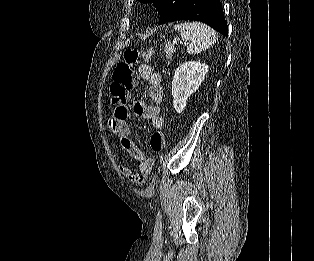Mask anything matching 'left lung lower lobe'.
I'll list each match as a JSON object with an SVG mask.
<instances>
[{"label": "left lung lower lobe", "mask_w": 314, "mask_h": 261, "mask_svg": "<svg viewBox=\"0 0 314 261\" xmlns=\"http://www.w3.org/2000/svg\"><path fill=\"white\" fill-rule=\"evenodd\" d=\"M179 20L201 21L221 34L228 35V27L220 0H183L169 22Z\"/></svg>", "instance_id": "left-lung-lower-lobe-1"}]
</instances>
